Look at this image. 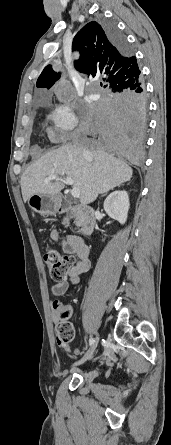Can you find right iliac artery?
<instances>
[{
    "mask_svg": "<svg viewBox=\"0 0 171 445\" xmlns=\"http://www.w3.org/2000/svg\"><path fill=\"white\" fill-rule=\"evenodd\" d=\"M93 342H94V338H90L89 339V345L91 346L93 344Z\"/></svg>",
    "mask_w": 171,
    "mask_h": 445,
    "instance_id": "82829eb1",
    "label": "right iliac artery"
}]
</instances>
